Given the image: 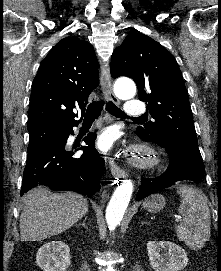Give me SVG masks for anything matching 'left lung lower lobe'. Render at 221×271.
Instances as JSON below:
<instances>
[{
    "label": "left lung lower lobe",
    "instance_id": "1",
    "mask_svg": "<svg viewBox=\"0 0 221 271\" xmlns=\"http://www.w3.org/2000/svg\"><path fill=\"white\" fill-rule=\"evenodd\" d=\"M138 135V134H137ZM143 141L153 142L165 148L169 155L170 165L165 173L155 178H142V185L136 200L174 185L177 181L192 180L201 182L205 171L200 152L171 138L148 139L138 135Z\"/></svg>",
    "mask_w": 221,
    "mask_h": 271
}]
</instances>
